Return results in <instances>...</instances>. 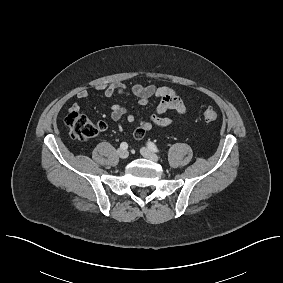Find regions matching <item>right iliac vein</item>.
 Here are the masks:
<instances>
[{"mask_svg":"<svg viewBox=\"0 0 283 283\" xmlns=\"http://www.w3.org/2000/svg\"><path fill=\"white\" fill-rule=\"evenodd\" d=\"M117 154L120 158L125 159L129 156V152L126 149H119Z\"/></svg>","mask_w":283,"mask_h":283,"instance_id":"obj_1","label":"right iliac vein"}]
</instances>
